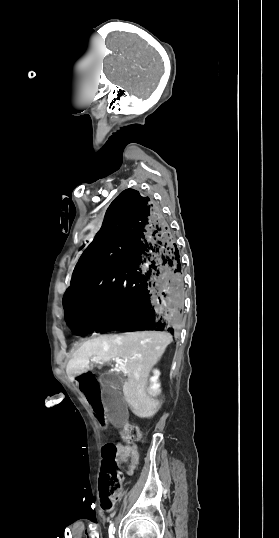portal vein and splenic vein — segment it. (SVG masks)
<instances>
[{
	"label": "portal vein and splenic vein",
	"instance_id": "1",
	"mask_svg": "<svg viewBox=\"0 0 279 538\" xmlns=\"http://www.w3.org/2000/svg\"><path fill=\"white\" fill-rule=\"evenodd\" d=\"M93 360H97V358H93ZM116 362V366H124L123 360H120V358H114Z\"/></svg>",
	"mask_w": 279,
	"mask_h": 538
}]
</instances>
